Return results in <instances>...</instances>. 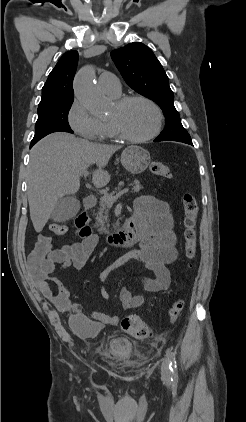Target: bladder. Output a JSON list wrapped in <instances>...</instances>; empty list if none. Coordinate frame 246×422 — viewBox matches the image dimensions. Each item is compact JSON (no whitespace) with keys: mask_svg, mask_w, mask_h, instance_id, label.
Returning a JSON list of instances; mask_svg holds the SVG:
<instances>
[{"mask_svg":"<svg viewBox=\"0 0 246 422\" xmlns=\"http://www.w3.org/2000/svg\"><path fill=\"white\" fill-rule=\"evenodd\" d=\"M108 358L122 360L127 364H132L134 349L132 345L121 338H112L108 341L105 349Z\"/></svg>","mask_w":246,"mask_h":422,"instance_id":"1","label":"bladder"}]
</instances>
